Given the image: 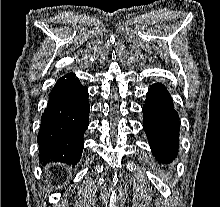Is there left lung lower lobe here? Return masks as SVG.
<instances>
[{"label":"left lung lower lobe","instance_id":"left-lung-lower-lobe-1","mask_svg":"<svg viewBox=\"0 0 220 207\" xmlns=\"http://www.w3.org/2000/svg\"><path fill=\"white\" fill-rule=\"evenodd\" d=\"M143 112L144 130L155 158L169 163L178 151L180 123L171 96L161 83L148 90Z\"/></svg>","mask_w":220,"mask_h":207}]
</instances>
